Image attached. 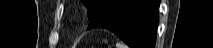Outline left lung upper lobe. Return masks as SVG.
Segmentation results:
<instances>
[{
    "mask_svg": "<svg viewBox=\"0 0 213 48\" xmlns=\"http://www.w3.org/2000/svg\"><path fill=\"white\" fill-rule=\"evenodd\" d=\"M88 9L89 21L92 20L98 12L110 1V0H81Z\"/></svg>",
    "mask_w": 213,
    "mask_h": 48,
    "instance_id": "obj_1",
    "label": "left lung upper lobe"
}]
</instances>
